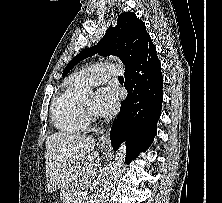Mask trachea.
Segmentation results:
<instances>
[{
    "label": "trachea",
    "mask_w": 222,
    "mask_h": 203,
    "mask_svg": "<svg viewBox=\"0 0 222 203\" xmlns=\"http://www.w3.org/2000/svg\"><path fill=\"white\" fill-rule=\"evenodd\" d=\"M120 80H123L124 78L122 76L119 77Z\"/></svg>",
    "instance_id": "1"
}]
</instances>
